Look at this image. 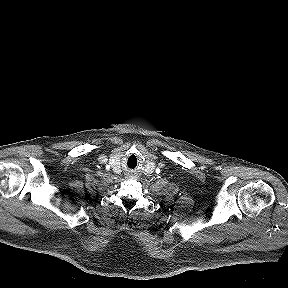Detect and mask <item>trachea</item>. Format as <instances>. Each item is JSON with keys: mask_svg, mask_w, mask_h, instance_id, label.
<instances>
[{"mask_svg": "<svg viewBox=\"0 0 288 288\" xmlns=\"http://www.w3.org/2000/svg\"><path fill=\"white\" fill-rule=\"evenodd\" d=\"M139 159L135 153H130L127 158V166L130 168H135L138 165Z\"/></svg>", "mask_w": 288, "mask_h": 288, "instance_id": "obj_1", "label": "trachea"}]
</instances>
